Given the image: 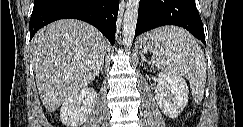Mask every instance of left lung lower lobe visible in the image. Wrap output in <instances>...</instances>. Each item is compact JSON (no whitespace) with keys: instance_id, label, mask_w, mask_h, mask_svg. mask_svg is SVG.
Masks as SVG:
<instances>
[{"instance_id":"obj_1","label":"left lung lower lobe","mask_w":243,"mask_h":127,"mask_svg":"<svg viewBox=\"0 0 243 127\" xmlns=\"http://www.w3.org/2000/svg\"><path fill=\"white\" fill-rule=\"evenodd\" d=\"M164 25L183 27L206 45L195 0H140L135 38Z\"/></svg>"}]
</instances>
